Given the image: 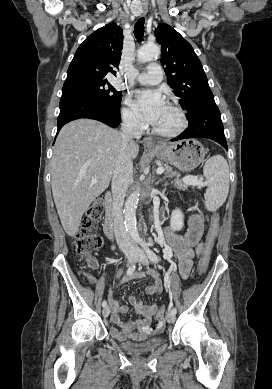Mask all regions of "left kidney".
Segmentation results:
<instances>
[{
  "instance_id": "1",
  "label": "left kidney",
  "mask_w": 272,
  "mask_h": 389,
  "mask_svg": "<svg viewBox=\"0 0 272 389\" xmlns=\"http://www.w3.org/2000/svg\"><path fill=\"white\" fill-rule=\"evenodd\" d=\"M171 230H181L184 226V214L180 209H176L172 212L170 220Z\"/></svg>"
}]
</instances>
